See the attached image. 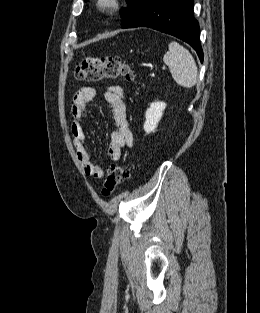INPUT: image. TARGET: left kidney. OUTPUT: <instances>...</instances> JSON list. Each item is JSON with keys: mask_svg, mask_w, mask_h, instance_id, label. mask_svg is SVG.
<instances>
[{"mask_svg": "<svg viewBox=\"0 0 260 313\" xmlns=\"http://www.w3.org/2000/svg\"><path fill=\"white\" fill-rule=\"evenodd\" d=\"M165 108L166 103L164 102L151 103L145 114L144 130L147 134L155 131Z\"/></svg>", "mask_w": 260, "mask_h": 313, "instance_id": "left-kidney-1", "label": "left kidney"}]
</instances>
